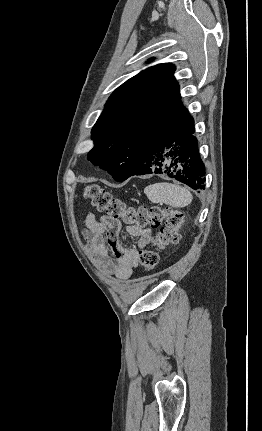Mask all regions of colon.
<instances>
[{
	"mask_svg": "<svg viewBox=\"0 0 262 431\" xmlns=\"http://www.w3.org/2000/svg\"><path fill=\"white\" fill-rule=\"evenodd\" d=\"M84 196L99 211L111 218L121 219L128 226L135 227H160L153 240L152 249H143L139 253V265L146 271L156 268L159 261V253L169 245L179 241V230L183 221L181 211L171 208H132L127 207L123 201L111 195L97 184L85 187Z\"/></svg>",
	"mask_w": 262,
	"mask_h": 431,
	"instance_id": "colon-1",
	"label": "colon"
}]
</instances>
